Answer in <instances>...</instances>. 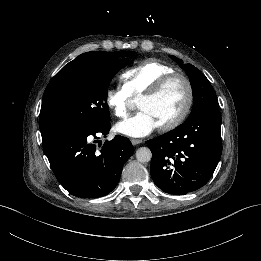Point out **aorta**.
<instances>
[{
	"label": "aorta",
	"instance_id": "1",
	"mask_svg": "<svg viewBox=\"0 0 261 261\" xmlns=\"http://www.w3.org/2000/svg\"><path fill=\"white\" fill-rule=\"evenodd\" d=\"M152 153L148 147H141L136 151V159L140 163H147L151 160Z\"/></svg>",
	"mask_w": 261,
	"mask_h": 261
}]
</instances>
